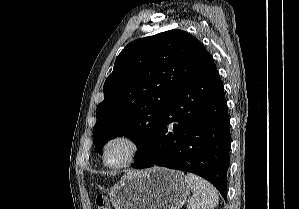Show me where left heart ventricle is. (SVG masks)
Returning a JSON list of instances; mask_svg holds the SVG:
<instances>
[{"instance_id": "left-heart-ventricle-1", "label": "left heart ventricle", "mask_w": 299, "mask_h": 209, "mask_svg": "<svg viewBox=\"0 0 299 209\" xmlns=\"http://www.w3.org/2000/svg\"><path fill=\"white\" fill-rule=\"evenodd\" d=\"M130 147L126 142H113L107 149L106 161L109 165H118L124 162L129 154Z\"/></svg>"}]
</instances>
